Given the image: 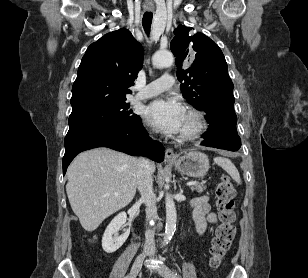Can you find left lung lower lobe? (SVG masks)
<instances>
[{
	"label": "left lung lower lobe",
	"mask_w": 308,
	"mask_h": 278,
	"mask_svg": "<svg viewBox=\"0 0 308 278\" xmlns=\"http://www.w3.org/2000/svg\"><path fill=\"white\" fill-rule=\"evenodd\" d=\"M205 112L210 125L201 145L237 151L241 147V140L237 134V116L233 104L221 103Z\"/></svg>",
	"instance_id": "left-lung-lower-lobe-1"
}]
</instances>
